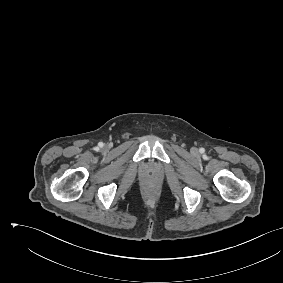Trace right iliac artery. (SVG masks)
<instances>
[{"instance_id": "1", "label": "right iliac artery", "mask_w": 283, "mask_h": 283, "mask_svg": "<svg viewBox=\"0 0 283 283\" xmlns=\"http://www.w3.org/2000/svg\"><path fill=\"white\" fill-rule=\"evenodd\" d=\"M99 146L101 147V146H102V143H100Z\"/></svg>"}]
</instances>
